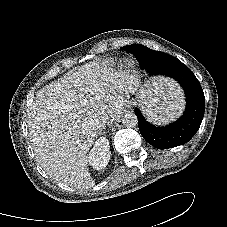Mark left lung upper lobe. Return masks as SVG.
<instances>
[{
	"label": "left lung upper lobe",
	"instance_id": "left-lung-upper-lobe-1",
	"mask_svg": "<svg viewBox=\"0 0 227 227\" xmlns=\"http://www.w3.org/2000/svg\"><path fill=\"white\" fill-rule=\"evenodd\" d=\"M135 46H136V44H132V45L124 46L122 49L125 50V51H127V52H130L129 51L130 48H133ZM163 56H164V58L160 62L168 63V61H173V60H176L177 59V58H175V57H173L171 55H168L166 53H163Z\"/></svg>",
	"mask_w": 227,
	"mask_h": 227
}]
</instances>
